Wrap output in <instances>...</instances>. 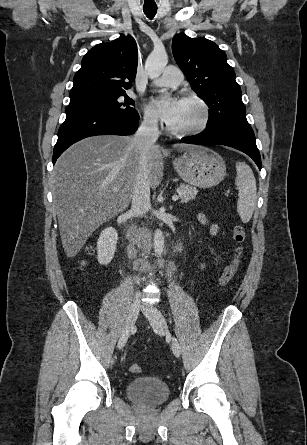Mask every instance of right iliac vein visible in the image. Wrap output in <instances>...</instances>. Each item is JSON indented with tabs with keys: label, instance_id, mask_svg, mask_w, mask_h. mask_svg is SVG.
Instances as JSON below:
<instances>
[{
	"label": "right iliac vein",
	"instance_id": "obj_1",
	"mask_svg": "<svg viewBox=\"0 0 307 445\" xmlns=\"http://www.w3.org/2000/svg\"><path fill=\"white\" fill-rule=\"evenodd\" d=\"M139 310H140V301L134 300L130 305L124 328H123L121 335L119 337V340H118V344H117L118 349L123 348L124 345L126 344L128 338H129V335H130V333L135 325V322L137 320Z\"/></svg>",
	"mask_w": 307,
	"mask_h": 445
}]
</instances>
